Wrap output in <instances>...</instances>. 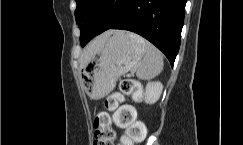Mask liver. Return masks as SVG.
<instances>
[{
	"mask_svg": "<svg viewBox=\"0 0 243 145\" xmlns=\"http://www.w3.org/2000/svg\"><path fill=\"white\" fill-rule=\"evenodd\" d=\"M110 33L111 31H108L100 35L87 45L81 56V64H84L89 60V58L101 47Z\"/></svg>",
	"mask_w": 243,
	"mask_h": 145,
	"instance_id": "obj_1",
	"label": "liver"
}]
</instances>
